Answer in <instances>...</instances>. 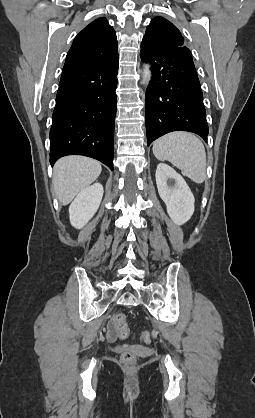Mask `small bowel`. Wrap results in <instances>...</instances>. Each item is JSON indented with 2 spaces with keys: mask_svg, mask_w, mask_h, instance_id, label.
Here are the masks:
<instances>
[{
  "mask_svg": "<svg viewBox=\"0 0 255 418\" xmlns=\"http://www.w3.org/2000/svg\"><path fill=\"white\" fill-rule=\"evenodd\" d=\"M107 336L110 340H114L117 337V330L114 323H110L107 330Z\"/></svg>",
  "mask_w": 255,
  "mask_h": 418,
  "instance_id": "c3829d8e",
  "label": "small bowel"
}]
</instances>
